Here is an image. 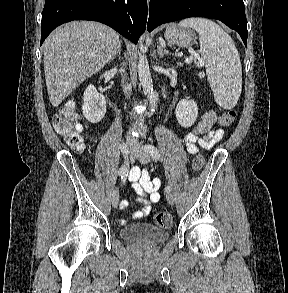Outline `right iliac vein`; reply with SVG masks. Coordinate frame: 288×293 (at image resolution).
<instances>
[{"label":"right iliac vein","mask_w":288,"mask_h":293,"mask_svg":"<svg viewBox=\"0 0 288 293\" xmlns=\"http://www.w3.org/2000/svg\"><path fill=\"white\" fill-rule=\"evenodd\" d=\"M124 147H128L129 151L127 153V157H134V143L131 140H127L124 144ZM111 204L114 208H116L119 204V191L118 189H114L111 196Z\"/></svg>","instance_id":"obj_1"}]
</instances>
